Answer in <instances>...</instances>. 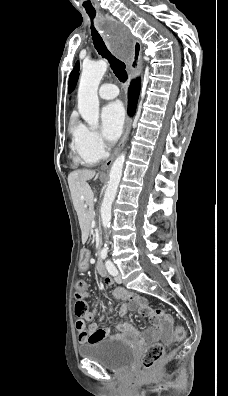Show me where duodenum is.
I'll return each mask as SVG.
<instances>
[{
  "label": "duodenum",
  "instance_id": "410a0bca",
  "mask_svg": "<svg viewBox=\"0 0 228 396\" xmlns=\"http://www.w3.org/2000/svg\"><path fill=\"white\" fill-rule=\"evenodd\" d=\"M97 270H98V273H99L101 276H103V277H106V276H107L106 267H105V265L103 264V262H102L100 259H99L98 262H97Z\"/></svg>",
  "mask_w": 228,
  "mask_h": 396
}]
</instances>
